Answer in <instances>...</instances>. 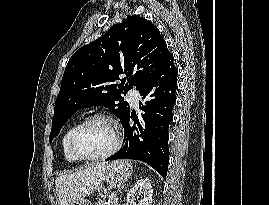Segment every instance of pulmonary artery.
Listing matches in <instances>:
<instances>
[{"instance_id": "obj_1", "label": "pulmonary artery", "mask_w": 269, "mask_h": 205, "mask_svg": "<svg viewBox=\"0 0 269 205\" xmlns=\"http://www.w3.org/2000/svg\"><path fill=\"white\" fill-rule=\"evenodd\" d=\"M129 95L131 96L132 103L134 105H137L139 99H140V94L138 90L132 89L129 91Z\"/></svg>"}]
</instances>
